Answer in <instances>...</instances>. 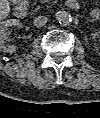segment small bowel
<instances>
[{
  "label": "small bowel",
  "instance_id": "obj_1",
  "mask_svg": "<svg viewBox=\"0 0 100 118\" xmlns=\"http://www.w3.org/2000/svg\"><path fill=\"white\" fill-rule=\"evenodd\" d=\"M99 15V11L98 10H95L94 11V16H98Z\"/></svg>",
  "mask_w": 100,
  "mask_h": 118
}]
</instances>
